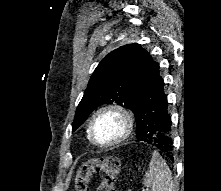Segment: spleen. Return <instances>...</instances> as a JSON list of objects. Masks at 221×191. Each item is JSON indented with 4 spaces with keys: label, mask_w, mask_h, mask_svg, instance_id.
I'll return each instance as SVG.
<instances>
[{
    "label": "spleen",
    "mask_w": 221,
    "mask_h": 191,
    "mask_svg": "<svg viewBox=\"0 0 221 191\" xmlns=\"http://www.w3.org/2000/svg\"><path fill=\"white\" fill-rule=\"evenodd\" d=\"M143 184L151 191H174L172 173L165 160L157 153H152L149 170L145 173Z\"/></svg>",
    "instance_id": "3e777b00"
}]
</instances>
